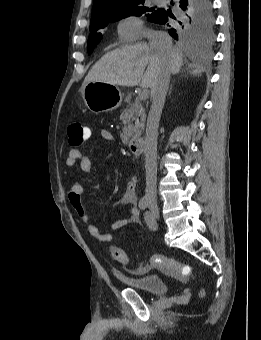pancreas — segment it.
<instances>
[{
	"instance_id": "cf45deb5",
	"label": "pancreas",
	"mask_w": 261,
	"mask_h": 340,
	"mask_svg": "<svg viewBox=\"0 0 261 340\" xmlns=\"http://www.w3.org/2000/svg\"><path fill=\"white\" fill-rule=\"evenodd\" d=\"M140 115L141 122L138 121ZM120 119L124 124V128L120 137L122 142L124 144H127L132 137L137 136L141 133V130L144 127L143 121L145 119V116L143 114H140L138 104L133 103L129 104V106H127V108L122 112V114L120 115Z\"/></svg>"
}]
</instances>
